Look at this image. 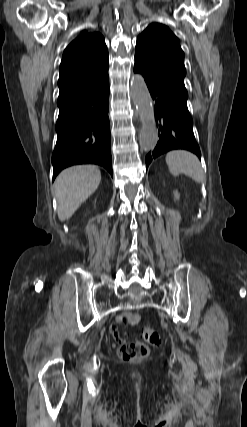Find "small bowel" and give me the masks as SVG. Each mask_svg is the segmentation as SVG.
Wrapping results in <instances>:
<instances>
[{"label": "small bowel", "instance_id": "c3829d8e", "mask_svg": "<svg viewBox=\"0 0 247 427\" xmlns=\"http://www.w3.org/2000/svg\"><path fill=\"white\" fill-rule=\"evenodd\" d=\"M139 320L140 316L138 314L131 312L121 313L117 315L115 323L111 324V326L109 327V331L117 342L123 343L126 339V334L120 333L118 325H135L139 322Z\"/></svg>", "mask_w": 247, "mask_h": 427}]
</instances>
